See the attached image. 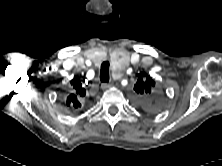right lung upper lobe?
<instances>
[{"instance_id":"right-lung-upper-lobe-1","label":"right lung upper lobe","mask_w":222,"mask_h":166,"mask_svg":"<svg viewBox=\"0 0 222 166\" xmlns=\"http://www.w3.org/2000/svg\"><path fill=\"white\" fill-rule=\"evenodd\" d=\"M75 83H79V82H75ZM72 84H73V82H72ZM77 91H79V88H77ZM76 99H77V97H76ZM72 102L76 103L75 100H72Z\"/></svg>"}]
</instances>
